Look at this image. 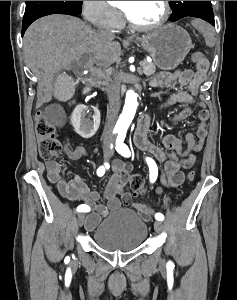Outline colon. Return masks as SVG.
<instances>
[{
	"label": "colon",
	"mask_w": 237,
	"mask_h": 300,
	"mask_svg": "<svg viewBox=\"0 0 237 300\" xmlns=\"http://www.w3.org/2000/svg\"><path fill=\"white\" fill-rule=\"evenodd\" d=\"M193 26L201 32L207 44L213 47L216 43L214 33L210 26L202 19H194ZM192 61L196 65H206L208 63L205 55L196 53L192 56ZM36 134L38 139L39 155L44 160H51L61 155L63 145L55 134L54 127L45 119L42 113H38L36 123ZM188 180L192 181L195 178V172L191 171L187 175ZM125 185L128 186L133 192L141 193L144 190V179L138 174H129L126 176ZM123 195L126 194L124 190L121 191ZM146 214L149 215L150 211L146 209Z\"/></svg>",
	"instance_id": "5ec220e1"
}]
</instances>
